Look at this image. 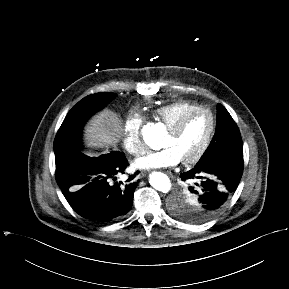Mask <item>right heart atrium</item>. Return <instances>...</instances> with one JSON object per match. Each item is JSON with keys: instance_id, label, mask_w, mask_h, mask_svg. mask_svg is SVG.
I'll return each mask as SVG.
<instances>
[{"instance_id": "1", "label": "right heart atrium", "mask_w": 289, "mask_h": 289, "mask_svg": "<svg viewBox=\"0 0 289 289\" xmlns=\"http://www.w3.org/2000/svg\"><path fill=\"white\" fill-rule=\"evenodd\" d=\"M144 118L137 112L127 115L123 124L122 144L124 149L133 156L145 152V145L141 137Z\"/></svg>"}]
</instances>
